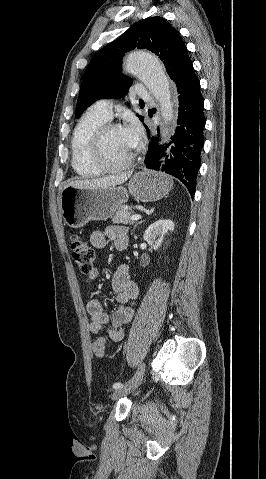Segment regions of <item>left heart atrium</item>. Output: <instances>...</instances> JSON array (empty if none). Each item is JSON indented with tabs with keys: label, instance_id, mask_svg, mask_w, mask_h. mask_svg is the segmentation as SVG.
I'll return each mask as SVG.
<instances>
[{
	"label": "left heart atrium",
	"instance_id": "obj_1",
	"mask_svg": "<svg viewBox=\"0 0 266 479\" xmlns=\"http://www.w3.org/2000/svg\"><path fill=\"white\" fill-rule=\"evenodd\" d=\"M123 130L130 142L131 147L134 149L138 145L140 140L141 130L139 125L136 122L132 121Z\"/></svg>",
	"mask_w": 266,
	"mask_h": 479
}]
</instances>
